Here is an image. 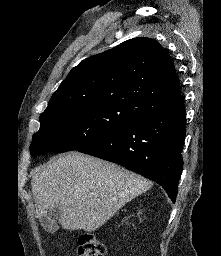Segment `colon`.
<instances>
[{
	"label": "colon",
	"instance_id": "1",
	"mask_svg": "<svg viewBox=\"0 0 221 256\" xmlns=\"http://www.w3.org/2000/svg\"><path fill=\"white\" fill-rule=\"evenodd\" d=\"M79 256H105L104 244L93 234L83 233L78 238Z\"/></svg>",
	"mask_w": 221,
	"mask_h": 256
}]
</instances>
